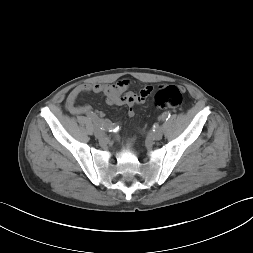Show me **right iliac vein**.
<instances>
[{
	"mask_svg": "<svg viewBox=\"0 0 253 253\" xmlns=\"http://www.w3.org/2000/svg\"><path fill=\"white\" fill-rule=\"evenodd\" d=\"M94 133H95V136L99 139L104 138L105 136V132L98 125H95Z\"/></svg>",
	"mask_w": 253,
	"mask_h": 253,
	"instance_id": "63e3f726",
	"label": "right iliac vein"
}]
</instances>
